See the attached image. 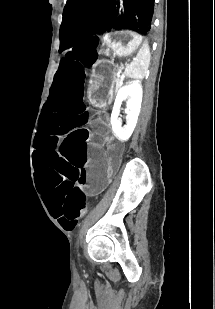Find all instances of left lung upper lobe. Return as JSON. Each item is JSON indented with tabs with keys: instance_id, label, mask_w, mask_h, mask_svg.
<instances>
[{
	"instance_id": "obj_1",
	"label": "left lung upper lobe",
	"mask_w": 215,
	"mask_h": 309,
	"mask_svg": "<svg viewBox=\"0 0 215 309\" xmlns=\"http://www.w3.org/2000/svg\"><path fill=\"white\" fill-rule=\"evenodd\" d=\"M154 0H67L60 29L62 52L110 29L151 30Z\"/></svg>"
}]
</instances>
